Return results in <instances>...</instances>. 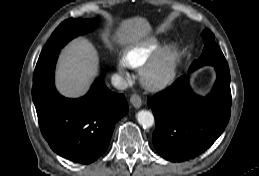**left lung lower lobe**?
Returning <instances> with one entry per match:
<instances>
[{"label":"left lung lower lobe","instance_id":"1","mask_svg":"<svg viewBox=\"0 0 259 176\" xmlns=\"http://www.w3.org/2000/svg\"><path fill=\"white\" fill-rule=\"evenodd\" d=\"M216 71L217 80L206 97L194 94L188 77L182 76L149 99L156 121L153 144L163 158L173 162L193 159L224 131L231 114L230 73L223 67Z\"/></svg>","mask_w":259,"mask_h":176}]
</instances>
